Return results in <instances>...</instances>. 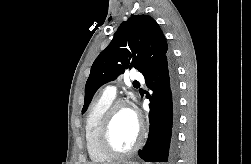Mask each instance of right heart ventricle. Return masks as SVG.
<instances>
[{
  "label": "right heart ventricle",
  "instance_id": "1",
  "mask_svg": "<svg viewBox=\"0 0 251 164\" xmlns=\"http://www.w3.org/2000/svg\"><path fill=\"white\" fill-rule=\"evenodd\" d=\"M112 97L101 95L88 109L84 122V137L89 158L93 162H105L110 157L104 154L98 145V131L102 118L113 102Z\"/></svg>",
  "mask_w": 251,
  "mask_h": 164
}]
</instances>
